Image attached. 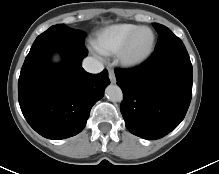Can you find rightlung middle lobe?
Wrapping results in <instances>:
<instances>
[{
	"label": "right lung middle lobe",
	"mask_w": 219,
	"mask_h": 174,
	"mask_svg": "<svg viewBox=\"0 0 219 174\" xmlns=\"http://www.w3.org/2000/svg\"><path fill=\"white\" fill-rule=\"evenodd\" d=\"M85 37V32L72 29L65 24H57L51 26L36 38L29 53L53 43L84 45Z\"/></svg>",
	"instance_id": "right-lung-middle-lobe-1"
}]
</instances>
